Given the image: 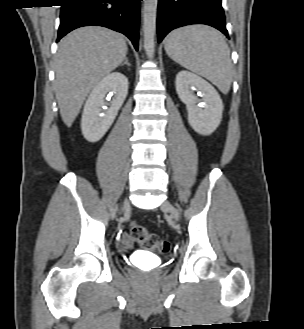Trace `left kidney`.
I'll use <instances>...</instances> for the list:
<instances>
[{"label":"left kidney","instance_id":"obj_1","mask_svg":"<svg viewBox=\"0 0 304 329\" xmlns=\"http://www.w3.org/2000/svg\"><path fill=\"white\" fill-rule=\"evenodd\" d=\"M176 91L180 100L186 104L188 122L201 135L212 134L220 125L223 103L216 89L203 78L189 72L180 71L176 75ZM201 93V100L193 94Z\"/></svg>","mask_w":304,"mask_h":329}]
</instances>
